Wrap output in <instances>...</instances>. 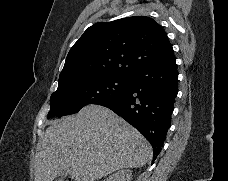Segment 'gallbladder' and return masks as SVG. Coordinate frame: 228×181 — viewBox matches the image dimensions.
<instances>
[{
	"instance_id": "1",
	"label": "gallbladder",
	"mask_w": 228,
	"mask_h": 181,
	"mask_svg": "<svg viewBox=\"0 0 228 181\" xmlns=\"http://www.w3.org/2000/svg\"><path fill=\"white\" fill-rule=\"evenodd\" d=\"M67 171H64L63 175H66Z\"/></svg>"
}]
</instances>
